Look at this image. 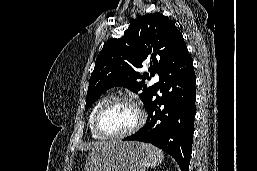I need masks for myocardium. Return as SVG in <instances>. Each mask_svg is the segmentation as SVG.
<instances>
[{"label": "myocardium", "instance_id": "myocardium-1", "mask_svg": "<svg viewBox=\"0 0 257 171\" xmlns=\"http://www.w3.org/2000/svg\"><path fill=\"white\" fill-rule=\"evenodd\" d=\"M121 102L129 103L136 109V112L138 114V121L130 130H128L126 132H123L120 134H108V133L104 132L100 127V123H99L100 117H101L102 113L108 107H110L116 103H121ZM145 121H146L145 112L142 109V107L140 106V104L133 97L126 96V95L115 96V97H111V98L107 99L97 109V111L94 115V119H93V127H94V130L96 131V133L98 135H100L101 137H103L104 139H123V138L129 137V136L135 134L136 132H138L143 127Z\"/></svg>", "mask_w": 257, "mask_h": 171}]
</instances>
